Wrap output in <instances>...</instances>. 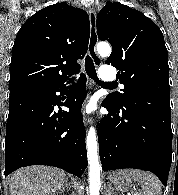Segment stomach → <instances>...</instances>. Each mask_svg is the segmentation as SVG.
<instances>
[{"label": "stomach", "mask_w": 178, "mask_h": 195, "mask_svg": "<svg viewBox=\"0 0 178 195\" xmlns=\"http://www.w3.org/2000/svg\"><path fill=\"white\" fill-rule=\"evenodd\" d=\"M114 189L118 192H128L132 190L134 183L128 176L123 175L121 171L111 172L108 176Z\"/></svg>", "instance_id": "obj_1"}]
</instances>
